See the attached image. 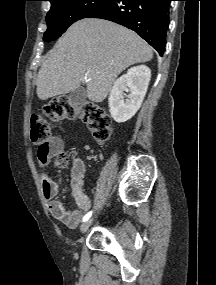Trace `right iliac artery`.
Listing matches in <instances>:
<instances>
[{
	"instance_id": "82829eb1",
	"label": "right iliac artery",
	"mask_w": 216,
	"mask_h": 285,
	"mask_svg": "<svg viewBox=\"0 0 216 285\" xmlns=\"http://www.w3.org/2000/svg\"><path fill=\"white\" fill-rule=\"evenodd\" d=\"M92 215V211L88 212L84 217H83V222L87 221Z\"/></svg>"
}]
</instances>
